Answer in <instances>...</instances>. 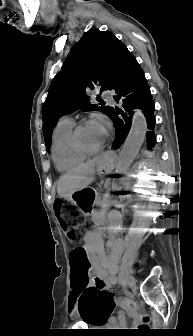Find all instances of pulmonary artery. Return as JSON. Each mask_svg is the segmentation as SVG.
<instances>
[{"mask_svg":"<svg viewBox=\"0 0 193 336\" xmlns=\"http://www.w3.org/2000/svg\"><path fill=\"white\" fill-rule=\"evenodd\" d=\"M102 95H103V97L105 98V100H106L108 103H110V104H114V98H113V96H112L110 93H108V92H103ZM60 122H72V121H71L70 118L65 117V118L61 119Z\"/></svg>","mask_w":193,"mask_h":336,"instance_id":"e3ab8cb5","label":"pulmonary artery"}]
</instances>
